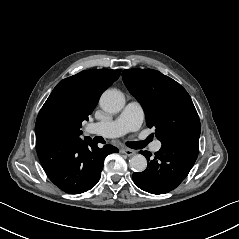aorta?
Wrapping results in <instances>:
<instances>
[{
	"label": "aorta",
	"instance_id": "aorta-1",
	"mask_svg": "<svg viewBox=\"0 0 239 239\" xmlns=\"http://www.w3.org/2000/svg\"><path fill=\"white\" fill-rule=\"evenodd\" d=\"M99 104L105 112L118 113L125 105V97L119 90L108 89L100 97ZM129 165L134 172H143L147 168V160L137 154L130 158Z\"/></svg>",
	"mask_w": 239,
	"mask_h": 239
}]
</instances>
